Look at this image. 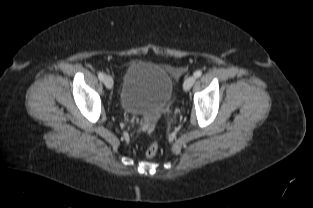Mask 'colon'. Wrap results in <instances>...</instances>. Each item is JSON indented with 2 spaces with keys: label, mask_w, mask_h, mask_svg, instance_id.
I'll list each match as a JSON object with an SVG mask.
<instances>
[{
  "label": "colon",
  "mask_w": 313,
  "mask_h": 208,
  "mask_svg": "<svg viewBox=\"0 0 313 208\" xmlns=\"http://www.w3.org/2000/svg\"><path fill=\"white\" fill-rule=\"evenodd\" d=\"M159 150V144L157 141L152 142L145 150V155L148 158L154 157Z\"/></svg>",
  "instance_id": "obj_1"
}]
</instances>
